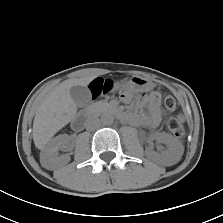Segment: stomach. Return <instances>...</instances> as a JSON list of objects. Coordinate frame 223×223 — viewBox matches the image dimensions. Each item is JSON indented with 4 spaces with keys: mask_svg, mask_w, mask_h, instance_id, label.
<instances>
[{
    "mask_svg": "<svg viewBox=\"0 0 223 223\" xmlns=\"http://www.w3.org/2000/svg\"><path fill=\"white\" fill-rule=\"evenodd\" d=\"M115 89L123 92L148 91L153 88V84L141 77H132L127 81L116 83Z\"/></svg>",
    "mask_w": 223,
    "mask_h": 223,
    "instance_id": "obj_1",
    "label": "stomach"
}]
</instances>
